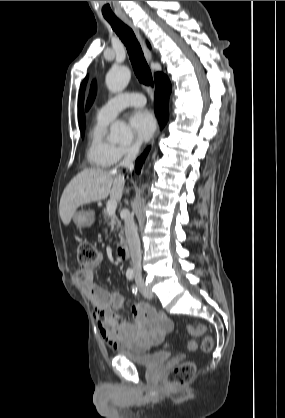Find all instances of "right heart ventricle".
I'll use <instances>...</instances> for the list:
<instances>
[{"label": "right heart ventricle", "instance_id": "e07e8e85", "mask_svg": "<svg viewBox=\"0 0 285 418\" xmlns=\"http://www.w3.org/2000/svg\"><path fill=\"white\" fill-rule=\"evenodd\" d=\"M109 122L97 118L89 130L86 156L93 167L106 168L114 163L117 145L107 137Z\"/></svg>", "mask_w": 285, "mask_h": 418}]
</instances>
